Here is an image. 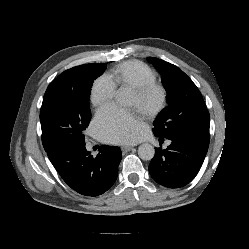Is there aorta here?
Wrapping results in <instances>:
<instances>
[{"mask_svg":"<svg viewBox=\"0 0 249 249\" xmlns=\"http://www.w3.org/2000/svg\"><path fill=\"white\" fill-rule=\"evenodd\" d=\"M115 97L120 104L129 102V93L125 88L118 89ZM138 155L142 160L149 161L154 157L155 149L151 144L143 143L138 147Z\"/></svg>","mask_w":249,"mask_h":249,"instance_id":"1","label":"aorta"}]
</instances>
